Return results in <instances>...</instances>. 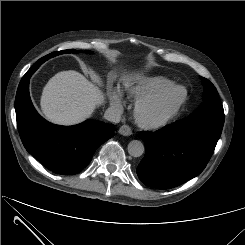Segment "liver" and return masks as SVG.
<instances>
[{
	"label": "liver",
	"mask_w": 245,
	"mask_h": 245,
	"mask_svg": "<svg viewBox=\"0 0 245 245\" xmlns=\"http://www.w3.org/2000/svg\"><path fill=\"white\" fill-rule=\"evenodd\" d=\"M103 96L85 76L69 70L55 74L45 85L41 110L45 117L59 125L83 122L101 104Z\"/></svg>",
	"instance_id": "1"
}]
</instances>
